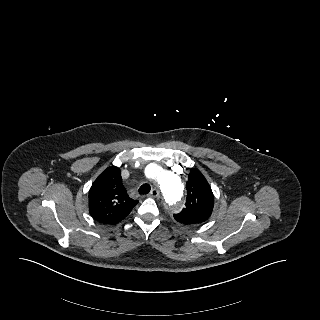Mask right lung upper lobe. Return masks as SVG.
Masks as SVG:
<instances>
[{"label": "right lung upper lobe", "mask_w": 320, "mask_h": 320, "mask_svg": "<svg viewBox=\"0 0 320 320\" xmlns=\"http://www.w3.org/2000/svg\"><path fill=\"white\" fill-rule=\"evenodd\" d=\"M137 203L127 195L121 171L116 166L103 171L89 190V212L96 221L103 224H117Z\"/></svg>", "instance_id": "right-lung-upper-lobe-1"}]
</instances>
